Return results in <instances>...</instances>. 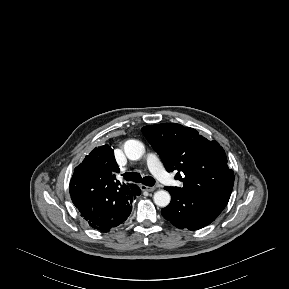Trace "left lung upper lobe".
<instances>
[{"label": "left lung upper lobe", "instance_id": "5c2ea615", "mask_svg": "<svg viewBox=\"0 0 289 289\" xmlns=\"http://www.w3.org/2000/svg\"><path fill=\"white\" fill-rule=\"evenodd\" d=\"M143 135L159 154L167 171H176L183 187L166 189L195 196L220 209L227 205L234 173L227 165L225 151L195 129L175 123L145 126Z\"/></svg>", "mask_w": 289, "mask_h": 289}]
</instances>
